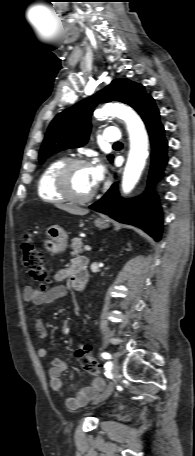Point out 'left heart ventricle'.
Here are the masks:
<instances>
[{"mask_svg": "<svg viewBox=\"0 0 195 456\" xmlns=\"http://www.w3.org/2000/svg\"><path fill=\"white\" fill-rule=\"evenodd\" d=\"M70 186L72 191L79 196H84L94 190L91 167L79 166L70 173Z\"/></svg>", "mask_w": 195, "mask_h": 456, "instance_id": "obj_1", "label": "left heart ventricle"}]
</instances>
